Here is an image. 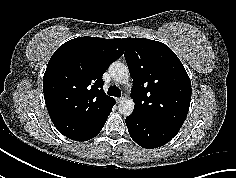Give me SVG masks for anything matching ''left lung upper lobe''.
<instances>
[{"instance_id":"left-lung-upper-lobe-1","label":"left lung upper lobe","mask_w":236,"mask_h":178,"mask_svg":"<svg viewBox=\"0 0 236 178\" xmlns=\"http://www.w3.org/2000/svg\"><path fill=\"white\" fill-rule=\"evenodd\" d=\"M125 59L133 78V115L181 128L191 100V81L176 54L165 44L124 38Z\"/></svg>"}]
</instances>
